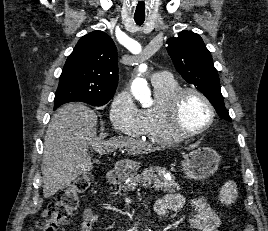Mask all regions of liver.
<instances>
[{
	"mask_svg": "<svg viewBox=\"0 0 268 231\" xmlns=\"http://www.w3.org/2000/svg\"><path fill=\"white\" fill-rule=\"evenodd\" d=\"M96 126L97 115L82 103L67 104L53 115L44 138L41 165L44 198L53 196L93 169L89 147L100 154H109L118 148H125L133 155L156 150L151 144L124 136L101 140Z\"/></svg>",
	"mask_w": 268,
	"mask_h": 231,
	"instance_id": "obj_1",
	"label": "liver"
}]
</instances>
